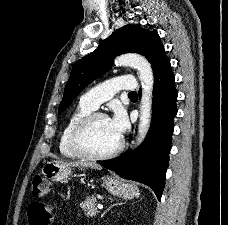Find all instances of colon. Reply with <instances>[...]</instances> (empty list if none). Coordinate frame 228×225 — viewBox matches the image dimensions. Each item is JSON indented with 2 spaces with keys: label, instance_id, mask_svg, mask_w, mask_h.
<instances>
[{
  "label": "colon",
  "instance_id": "1",
  "mask_svg": "<svg viewBox=\"0 0 228 225\" xmlns=\"http://www.w3.org/2000/svg\"><path fill=\"white\" fill-rule=\"evenodd\" d=\"M52 182H48L43 176L36 175L31 184V193L34 199H42L51 190Z\"/></svg>",
  "mask_w": 228,
  "mask_h": 225
}]
</instances>
